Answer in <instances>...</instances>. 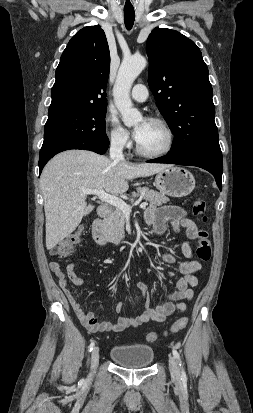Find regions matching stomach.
Here are the masks:
<instances>
[{
	"mask_svg": "<svg viewBox=\"0 0 253 413\" xmlns=\"http://www.w3.org/2000/svg\"><path fill=\"white\" fill-rule=\"evenodd\" d=\"M155 186L171 197L188 196L195 188V178L186 169L169 166L156 174Z\"/></svg>",
	"mask_w": 253,
	"mask_h": 413,
	"instance_id": "obj_1",
	"label": "stomach"
}]
</instances>
